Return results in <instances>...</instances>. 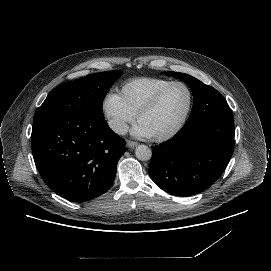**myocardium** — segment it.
<instances>
[{"label":"myocardium","mask_w":271,"mask_h":271,"mask_svg":"<svg viewBox=\"0 0 271 271\" xmlns=\"http://www.w3.org/2000/svg\"><path fill=\"white\" fill-rule=\"evenodd\" d=\"M184 85L190 94V102H189V106L188 109L183 117V119L180 121V123L174 128L172 129L170 132L160 135V136H155V137H151V139L155 142H166L169 141L171 139H173L174 137H176L185 127V125L187 124L192 111L194 109V105H195V92L193 90V88L185 81H181V80H175L170 82L169 84H167L166 86H164L160 91H158L156 93V95L152 98V100L139 112V114L137 115V120L140 122L145 116H147L148 114H150L151 112H153L159 105V103L161 102V100L163 99V97L165 96V94L175 85Z\"/></svg>","instance_id":"1"}]
</instances>
